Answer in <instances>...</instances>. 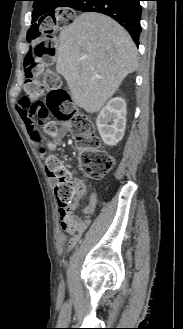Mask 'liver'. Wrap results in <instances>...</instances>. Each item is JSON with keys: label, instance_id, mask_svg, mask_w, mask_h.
<instances>
[{"label": "liver", "instance_id": "liver-1", "mask_svg": "<svg viewBox=\"0 0 183 329\" xmlns=\"http://www.w3.org/2000/svg\"><path fill=\"white\" fill-rule=\"evenodd\" d=\"M137 55L129 33L116 21L83 13L60 32L56 71L66 79L74 103L96 113L137 69Z\"/></svg>", "mask_w": 183, "mask_h": 329}]
</instances>
